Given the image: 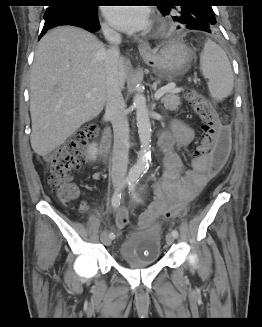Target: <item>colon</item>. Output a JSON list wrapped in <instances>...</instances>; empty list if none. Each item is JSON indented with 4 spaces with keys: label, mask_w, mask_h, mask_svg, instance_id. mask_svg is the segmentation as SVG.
Listing matches in <instances>:
<instances>
[{
    "label": "colon",
    "mask_w": 262,
    "mask_h": 327,
    "mask_svg": "<svg viewBox=\"0 0 262 327\" xmlns=\"http://www.w3.org/2000/svg\"><path fill=\"white\" fill-rule=\"evenodd\" d=\"M188 101L202 121L200 141L194 155H206L210 174L220 172L225 166L230 153V135L219 122L218 115L207 99L197 91H189ZM98 126L88 124L78 130L56 152L50 161L49 185L62 202H70L77 198L78 187L72 182L73 175L79 170L85 159V150L89 142L98 135ZM186 203L178 204L166 211L162 216L172 218L185 210ZM129 221L126 209L117 212L116 224L124 227Z\"/></svg>",
    "instance_id": "1"
}]
</instances>
